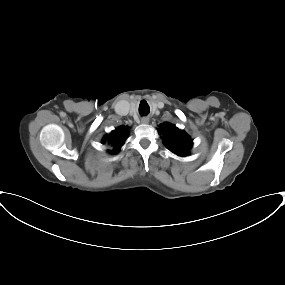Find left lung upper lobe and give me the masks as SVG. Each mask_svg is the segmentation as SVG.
Wrapping results in <instances>:
<instances>
[{"instance_id": "left-lung-upper-lobe-1", "label": "left lung upper lobe", "mask_w": 285, "mask_h": 285, "mask_svg": "<svg viewBox=\"0 0 285 285\" xmlns=\"http://www.w3.org/2000/svg\"><path fill=\"white\" fill-rule=\"evenodd\" d=\"M158 133L163 135L164 145L173 153L179 156H186L193 145L189 135L170 123H163L159 126Z\"/></svg>"}]
</instances>
